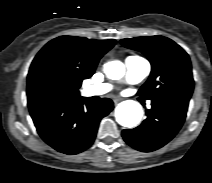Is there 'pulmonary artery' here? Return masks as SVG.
Masks as SVG:
<instances>
[{
  "mask_svg": "<svg viewBox=\"0 0 212 183\" xmlns=\"http://www.w3.org/2000/svg\"><path fill=\"white\" fill-rule=\"evenodd\" d=\"M126 80L130 84H138L145 79L151 70L150 63L140 56H130L125 60ZM110 84L90 85L84 88V95L100 96L111 90Z\"/></svg>",
  "mask_w": 212,
  "mask_h": 183,
  "instance_id": "e3ab8cb5",
  "label": "pulmonary artery"
}]
</instances>
